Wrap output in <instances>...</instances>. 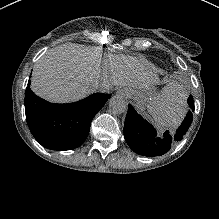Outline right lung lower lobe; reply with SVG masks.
Masks as SVG:
<instances>
[{
	"instance_id": "98d812e1",
	"label": "right lung lower lobe",
	"mask_w": 219,
	"mask_h": 219,
	"mask_svg": "<svg viewBox=\"0 0 219 219\" xmlns=\"http://www.w3.org/2000/svg\"><path fill=\"white\" fill-rule=\"evenodd\" d=\"M109 98V94L97 93L72 104H52L27 88L26 120L42 145L54 150L72 149L86 139L93 117Z\"/></svg>"
}]
</instances>
